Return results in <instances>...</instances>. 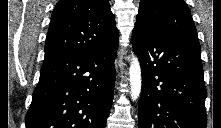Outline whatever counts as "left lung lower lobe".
<instances>
[{
  "mask_svg": "<svg viewBox=\"0 0 221 128\" xmlns=\"http://www.w3.org/2000/svg\"><path fill=\"white\" fill-rule=\"evenodd\" d=\"M132 44L143 76L139 128H206L200 51L139 29Z\"/></svg>",
  "mask_w": 221,
  "mask_h": 128,
  "instance_id": "left-lung-lower-lobe-1",
  "label": "left lung lower lobe"
}]
</instances>
